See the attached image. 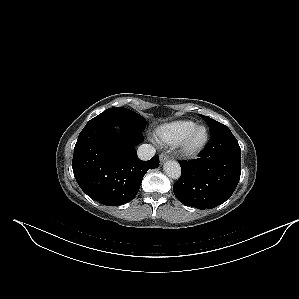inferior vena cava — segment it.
<instances>
[{"mask_svg": "<svg viewBox=\"0 0 299 299\" xmlns=\"http://www.w3.org/2000/svg\"><path fill=\"white\" fill-rule=\"evenodd\" d=\"M155 148L150 144H142L138 147L137 154L141 160H149L155 155Z\"/></svg>", "mask_w": 299, "mask_h": 299, "instance_id": "obj_1", "label": "inferior vena cava"}]
</instances>
